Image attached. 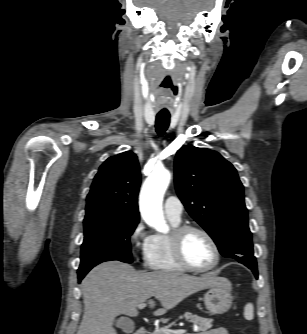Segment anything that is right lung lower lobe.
Masks as SVG:
<instances>
[{
    "label": "right lung lower lobe",
    "instance_id": "98d812e1",
    "mask_svg": "<svg viewBox=\"0 0 307 334\" xmlns=\"http://www.w3.org/2000/svg\"><path fill=\"white\" fill-rule=\"evenodd\" d=\"M84 276L82 275H78V278H79V282L83 279Z\"/></svg>",
    "mask_w": 307,
    "mask_h": 334
}]
</instances>
